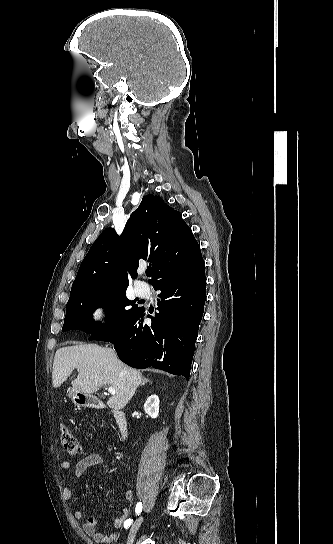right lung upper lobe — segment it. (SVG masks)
Segmentation results:
<instances>
[{"instance_id":"obj_1","label":"right lung upper lobe","mask_w":333,"mask_h":544,"mask_svg":"<svg viewBox=\"0 0 333 544\" xmlns=\"http://www.w3.org/2000/svg\"><path fill=\"white\" fill-rule=\"evenodd\" d=\"M141 260L150 262L153 287L161 280L190 273L204 261L200 247L181 214L154 195L143 197L118 236L103 231L83 259L69 300L91 294L126 289L137 277Z\"/></svg>"}]
</instances>
